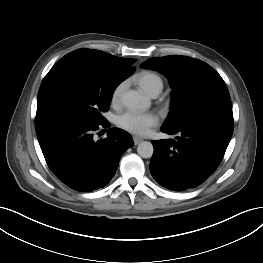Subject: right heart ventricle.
<instances>
[{"label":"right heart ventricle","mask_w":263,"mask_h":263,"mask_svg":"<svg viewBox=\"0 0 263 263\" xmlns=\"http://www.w3.org/2000/svg\"><path fill=\"white\" fill-rule=\"evenodd\" d=\"M138 85L147 94H150L154 89H162V79L155 73L150 71H142L136 77Z\"/></svg>","instance_id":"right-heart-ventricle-1"}]
</instances>
